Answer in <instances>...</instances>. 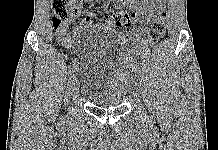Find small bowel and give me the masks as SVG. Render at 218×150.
<instances>
[{"instance_id":"c3829d8e","label":"small bowel","mask_w":218,"mask_h":150,"mask_svg":"<svg viewBox=\"0 0 218 150\" xmlns=\"http://www.w3.org/2000/svg\"><path fill=\"white\" fill-rule=\"evenodd\" d=\"M92 0H73L70 18L61 23L56 32V38L60 45L71 48L74 41L83 33L89 30H98L113 33L107 24L94 23L92 16L94 14L84 6ZM112 1L115 6L124 7L120 13L124 16L123 27L133 31L136 19L142 23L148 24L153 22L159 13L165 8L167 0H108ZM105 11H108L107 3L104 4ZM83 16L79 25L70 30L72 23Z\"/></svg>"}]
</instances>
